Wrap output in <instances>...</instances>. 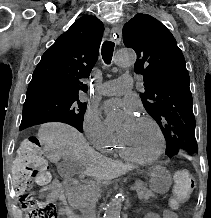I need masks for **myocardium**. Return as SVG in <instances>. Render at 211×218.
<instances>
[{"mask_svg": "<svg viewBox=\"0 0 211 218\" xmlns=\"http://www.w3.org/2000/svg\"><path fill=\"white\" fill-rule=\"evenodd\" d=\"M140 118L147 120L155 128V130L158 134V137H159V141H160L158 151L155 154H153L152 156L141 157V156H138V155L132 153L130 150H128L120 136L117 137V144H118L119 150L121 151L122 155L125 156L127 159L134 161V162H137V163H140V164H150V163L157 161L164 152V146H165L164 133H163V130H162L161 126L159 125V123L151 116L144 115Z\"/></svg>", "mask_w": 211, "mask_h": 218, "instance_id": "myocardium-1", "label": "myocardium"}]
</instances>
